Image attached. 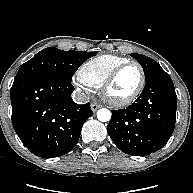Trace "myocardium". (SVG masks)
<instances>
[{
  "label": "myocardium",
  "mask_w": 193,
  "mask_h": 193,
  "mask_svg": "<svg viewBox=\"0 0 193 193\" xmlns=\"http://www.w3.org/2000/svg\"><path fill=\"white\" fill-rule=\"evenodd\" d=\"M129 66H135L138 68L140 72V82L136 90L128 97L123 98V99H115L112 98L109 95V89L111 85L114 83L115 79L117 76L127 67ZM146 83V76H145V71L143 67L136 61H127L119 66H117L115 69H113L109 75L105 78L103 81L101 87H100V94L103 98V100L108 103L109 105L113 107H125L130 104H132L142 93Z\"/></svg>",
  "instance_id": "f54148a6"
}]
</instances>
